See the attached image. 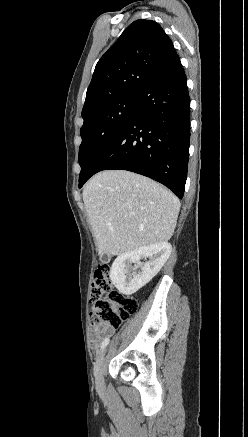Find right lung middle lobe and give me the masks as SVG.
<instances>
[{"label": "right lung middle lobe", "instance_id": "dd1d6c3e", "mask_svg": "<svg viewBox=\"0 0 248 437\" xmlns=\"http://www.w3.org/2000/svg\"><path fill=\"white\" fill-rule=\"evenodd\" d=\"M136 99L137 94L118 97L83 118L84 123L80 130L82 143L79 148V180L89 172L95 157L126 122Z\"/></svg>", "mask_w": 248, "mask_h": 437}]
</instances>
